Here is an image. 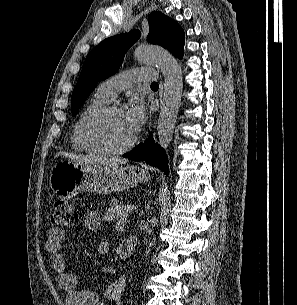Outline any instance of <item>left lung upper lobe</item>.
I'll return each instance as SVG.
<instances>
[{
  "instance_id": "5c2ea615",
  "label": "left lung upper lobe",
  "mask_w": 297,
  "mask_h": 305,
  "mask_svg": "<svg viewBox=\"0 0 297 305\" xmlns=\"http://www.w3.org/2000/svg\"><path fill=\"white\" fill-rule=\"evenodd\" d=\"M148 42L169 50L175 57L184 54L185 35L181 26L159 11L149 17ZM140 32L116 35L100 42L86 57L71 97V111L75 115L90 95L96 83L113 75L122 65L127 50L139 39Z\"/></svg>"
}]
</instances>
